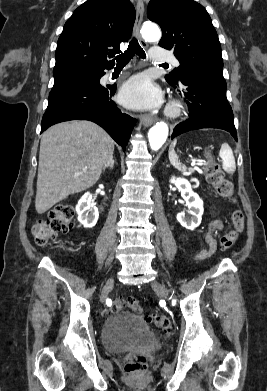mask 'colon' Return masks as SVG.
I'll return each instance as SVG.
<instances>
[{"label": "colon", "instance_id": "obj_1", "mask_svg": "<svg viewBox=\"0 0 267 391\" xmlns=\"http://www.w3.org/2000/svg\"><path fill=\"white\" fill-rule=\"evenodd\" d=\"M206 180L214 188L216 193L223 198H232L234 188L228 181L217 162L211 156L210 150L207 151ZM75 209L69 204H59L53 207L46 217L37 220L32 228L35 241L39 245H45L55 240L59 233L70 231L73 226ZM233 229L224 234L220 239V247L223 250L230 249L237 241L239 235L244 230L245 216L242 211L236 210L232 214ZM128 307L136 313H141L142 308L136 297L118 298L113 302L112 310L120 311ZM148 324L168 332L171 330L170 319L162 314H151L146 317ZM147 369V357L143 354L131 355L126 364L125 371L131 375L143 374Z\"/></svg>", "mask_w": 267, "mask_h": 391}]
</instances>
